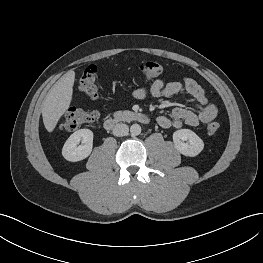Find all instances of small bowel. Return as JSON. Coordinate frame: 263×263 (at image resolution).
<instances>
[{
  "instance_id": "1",
  "label": "small bowel",
  "mask_w": 263,
  "mask_h": 263,
  "mask_svg": "<svg viewBox=\"0 0 263 263\" xmlns=\"http://www.w3.org/2000/svg\"><path fill=\"white\" fill-rule=\"evenodd\" d=\"M154 98L169 97L185 93L192 108L176 107L170 116L160 115L157 123L162 128H181L183 125L196 127L201 123H209L217 115V107L208 100L202 87L192 78H183L181 81H165L156 79L148 90ZM147 90L138 88L133 92L136 99H144Z\"/></svg>"
}]
</instances>
